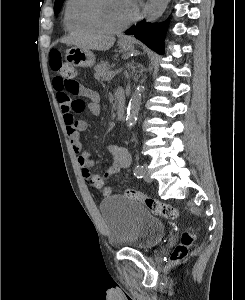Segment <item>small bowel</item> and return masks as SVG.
<instances>
[{
    "instance_id": "1",
    "label": "small bowel",
    "mask_w": 245,
    "mask_h": 300,
    "mask_svg": "<svg viewBox=\"0 0 245 300\" xmlns=\"http://www.w3.org/2000/svg\"><path fill=\"white\" fill-rule=\"evenodd\" d=\"M53 88L56 92V98L63 114L67 136L77 156L78 164L82 168V174L87 184L89 185L91 177H99L104 184L107 180L118 175L123 169L127 168L131 163V156L128 150L115 144H109L107 150L113 157L111 166L102 176L92 172L94 162L90 153L85 149L80 140V133L87 130L89 122L87 119L77 118V114L87 111L91 115H97L100 111V98L98 93L84 87L78 82H76V89L71 92L67 89L66 83L58 76L53 79ZM70 95L86 97L89 99V102L85 103L86 105L83 110L77 111L73 108L74 100L71 99Z\"/></svg>"
}]
</instances>
